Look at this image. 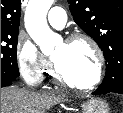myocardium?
Listing matches in <instances>:
<instances>
[{"mask_svg": "<svg viewBox=\"0 0 123 113\" xmlns=\"http://www.w3.org/2000/svg\"><path fill=\"white\" fill-rule=\"evenodd\" d=\"M76 41H85L87 42L90 47L93 49L95 56H96V74L94 78L87 84H78L76 82L71 81L68 79L64 73L62 72L61 68L57 64V62L52 58L53 64V75L56 81L59 83L66 85L68 87L74 88L79 91H89L97 87L102 78L104 76V66H105V56L102 48L98 44V42L90 35L85 33H74L67 37L64 41L65 44H71Z\"/></svg>", "mask_w": 123, "mask_h": 113, "instance_id": "1", "label": "myocardium"}]
</instances>
